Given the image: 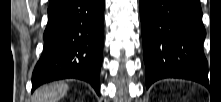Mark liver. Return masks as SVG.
Masks as SVG:
<instances>
[{
  "instance_id": "obj_1",
  "label": "liver",
  "mask_w": 221,
  "mask_h": 102,
  "mask_svg": "<svg viewBox=\"0 0 221 102\" xmlns=\"http://www.w3.org/2000/svg\"><path fill=\"white\" fill-rule=\"evenodd\" d=\"M68 85L63 82H55L37 89L33 96V102H58L68 91Z\"/></svg>"
}]
</instances>
